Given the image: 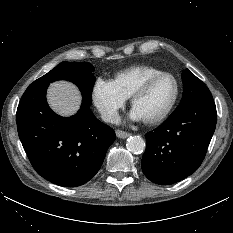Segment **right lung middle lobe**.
<instances>
[{
  "mask_svg": "<svg viewBox=\"0 0 233 233\" xmlns=\"http://www.w3.org/2000/svg\"><path fill=\"white\" fill-rule=\"evenodd\" d=\"M93 71L94 67L90 63H68L64 61L33 83L49 84L56 80L71 81L79 87L84 101L90 105L93 84L95 82Z\"/></svg>",
  "mask_w": 233,
  "mask_h": 233,
  "instance_id": "dd1d6c3e",
  "label": "right lung middle lobe"
}]
</instances>
